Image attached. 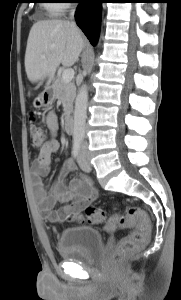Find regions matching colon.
Segmentation results:
<instances>
[{"mask_svg":"<svg viewBox=\"0 0 181 300\" xmlns=\"http://www.w3.org/2000/svg\"><path fill=\"white\" fill-rule=\"evenodd\" d=\"M46 128L39 125H31L29 137L32 146L40 148L47 139ZM86 221L91 224L105 223L107 231H114L117 228L135 227L126 237L118 243L114 253L115 262H123L133 255L140 247L145 245L151 232L150 219L146 211L139 207H130L124 215H114L109 218L106 213L96 207L86 209Z\"/></svg>","mask_w":181,"mask_h":300,"instance_id":"obj_1","label":"colon"}]
</instances>
